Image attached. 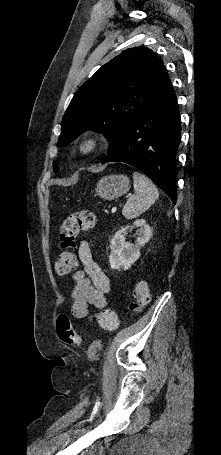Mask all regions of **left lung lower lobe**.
Segmentation results:
<instances>
[{
	"label": "left lung lower lobe",
	"instance_id": "1",
	"mask_svg": "<svg viewBox=\"0 0 221 455\" xmlns=\"http://www.w3.org/2000/svg\"><path fill=\"white\" fill-rule=\"evenodd\" d=\"M181 124L172 85L140 113L109 150L102 163L120 161L149 176L176 202V152Z\"/></svg>",
	"mask_w": 221,
	"mask_h": 455
}]
</instances>
